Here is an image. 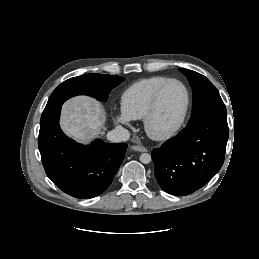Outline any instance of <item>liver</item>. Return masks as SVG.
Instances as JSON below:
<instances>
[{"mask_svg":"<svg viewBox=\"0 0 259 259\" xmlns=\"http://www.w3.org/2000/svg\"><path fill=\"white\" fill-rule=\"evenodd\" d=\"M105 123L104 110L99 102L78 96L64 103L61 128L66 135L78 142H87L101 133Z\"/></svg>","mask_w":259,"mask_h":259,"instance_id":"1","label":"liver"}]
</instances>
